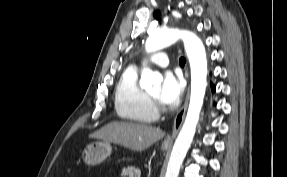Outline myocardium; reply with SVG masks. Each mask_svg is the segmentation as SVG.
Here are the masks:
<instances>
[{"instance_id":"1","label":"myocardium","mask_w":287,"mask_h":177,"mask_svg":"<svg viewBox=\"0 0 287 177\" xmlns=\"http://www.w3.org/2000/svg\"><path fill=\"white\" fill-rule=\"evenodd\" d=\"M148 97L152 103V105L157 109V110H160V111H165V107L161 104V102L159 101L158 98L148 94Z\"/></svg>"}]
</instances>
